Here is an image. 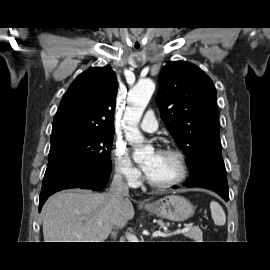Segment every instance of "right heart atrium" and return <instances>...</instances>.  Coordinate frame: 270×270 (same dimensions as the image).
Returning a JSON list of instances; mask_svg holds the SVG:
<instances>
[{
  "mask_svg": "<svg viewBox=\"0 0 270 270\" xmlns=\"http://www.w3.org/2000/svg\"><path fill=\"white\" fill-rule=\"evenodd\" d=\"M112 161L115 174L130 185L139 183L141 173L133 164L126 147L116 143L112 149Z\"/></svg>",
  "mask_w": 270,
  "mask_h": 270,
  "instance_id": "obj_1",
  "label": "right heart atrium"
}]
</instances>
